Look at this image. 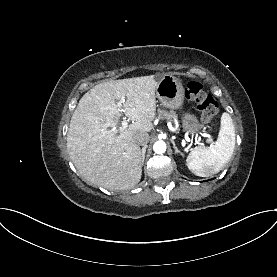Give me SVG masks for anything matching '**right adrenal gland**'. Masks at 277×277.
Here are the masks:
<instances>
[{"instance_id": "2a0ac1e0", "label": "right adrenal gland", "mask_w": 277, "mask_h": 277, "mask_svg": "<svg viewBox=\"0 0 277 277\" xmlns=\"http://www.w3.org/2000/svg\"><path fill=\"white\" fill-rule=\"evenodd\" d=\"M146 148H147V146H144V147L142 148V150H141V153H142L141 164H142V165L144 164V160H145Z\"/></svg>"}]
</instances>
